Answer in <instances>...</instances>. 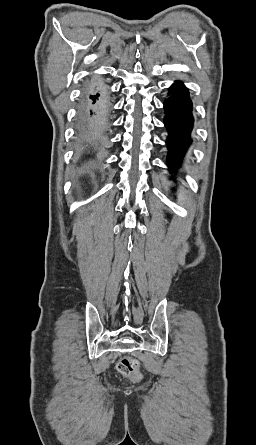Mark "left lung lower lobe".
<instances>
[{
  "label": "left lung lower lobe",
  "mask_w": 256,
  "mask_h": 445,
  "mask_svg": "<svg viewBox=\"0 0 256 445\" xmlns=\"http://www.w3.org/2000/svg\"><path fill=\"white\" fill-rule=\"evenodd\" d=\"M169 97L164 102L165 127L168 130L167 146L169 149L168 164L175 169L184 157L191 143L190 134L193 128L192 102L187 88L176 82L169 88Z\"/></svg>",
  "instance_id": "0a47b994"
}]
</instances>
